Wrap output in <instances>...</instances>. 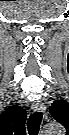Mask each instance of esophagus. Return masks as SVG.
<instances>
[{
  "mask_svg": "<svg viewBox=\"0 0 69 135\" xmlns=\"http://www.w3.org/2000/svg\"><path fill=\"white\" fill-rule=\"evenodd\" d=\"M32 109L36 112H45V106L41 102H35L32 104Z\"/></svg>",
  "mask_w": 69,
  "mask_h": 135,
  "instance_id": "34e87169",
  "label": "esophagus"
}]
</instances>
